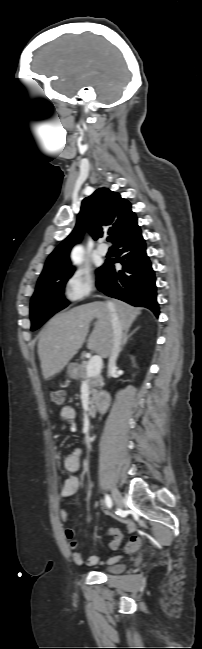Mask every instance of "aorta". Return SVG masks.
Listing matches in <instances>:
<instances>
[{"instance_id":"obj_1","label":"aorta","mask_w":202,"mask_h":649,"mask_svg":"<svg viewBox=\"0 0 202 649\" xmlns=\"http://www.w3.org/2000/svg\"><path fill=\"white\" fill-rule=\"evenodd\" d=\"M83 250L81 247H76L72 252V261L75 265H79L82 262Z\"/></svg>"}]
</instances>
